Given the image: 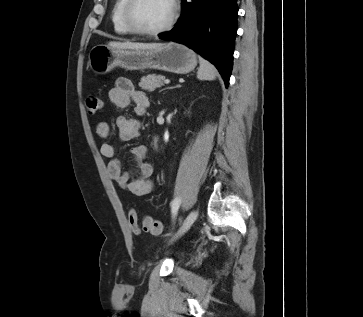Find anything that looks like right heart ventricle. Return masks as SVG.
Listing matches in <instances>:
<instances>
[{
	"label": "right heart ventricle",
	"instance_id": "1",
	"mask_svg": "<svg viewBox=\"0 0 363 317\" xmlns=\"http://www.w3.org/2000/svg\"><path fill=\"white\" fill-rule=\"evenodd\" d=\"M126 0H115L111 9V22L114 31L119 35H129L131 32L123 21V7Z\"/></svg>",
	"mask_w": 363,
	"mask_h": 317
}]
</instances>
